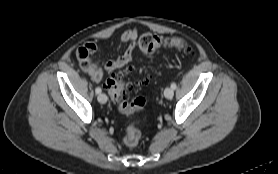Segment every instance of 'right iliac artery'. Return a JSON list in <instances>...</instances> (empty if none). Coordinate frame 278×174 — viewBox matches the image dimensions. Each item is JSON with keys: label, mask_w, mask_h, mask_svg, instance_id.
Listing matches in <instances>:
<instances>
[{"label": "right iliac artery", "mask_w": 278, "mask_h": 174, "mask_svg": "<svg viewBox=\"0 0 278 174\" xmlns=\"http://www.w3.org/2000/svg\"><path fill=\"white\" fill-rule=\"evenodd\" d=\"M95 92H96V94H100V93H101V88H100V87H97V88L95 89Z\"/></svg>", "instance_id": "1"}]
</instances>
